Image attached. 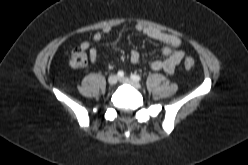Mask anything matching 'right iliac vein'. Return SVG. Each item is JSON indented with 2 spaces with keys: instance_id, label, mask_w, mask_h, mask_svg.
I'll return each mask as SVG.
<instances>
[{
  "instance_id": "right-iliac-vein-1",
  "label": "right iliac vein",
  "mask_w": 248,
  "mask_h": 165,
  "mask_svg": "<svg viewBox=\"0 0 248 165\" xmlns=\"http://www.w3.org/2000/svg\"><path fill=\"white\" fill-rule=\"evenodd\" d=\"M117 81H118V78H117V76L114 75V74H112V75H110V76L108 77V83H109V85H111V86L115 85V84L117 83Z\"/></svg>"
}]
</instances>
